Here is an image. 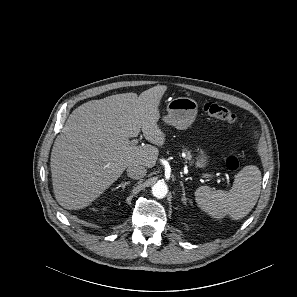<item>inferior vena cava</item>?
Returning <instances> with one entry per match:
<instances>
[{
  "label": "inferior vena cava",
  "instance_id": "inferior-vena-cava-1",
  "mask_svg": "<svg viewBox=\"0 0 297 297\" xmlns=\"http://www.w3.org/2000/svg\"><path fill=\"white\" fill-rule=\"evenodd\" d=\"M146 173V168L141 165H131L127 168V175L132 179H141L146 175Z\"/></svg>",
  "mask_w": 297,
  "mask_h": 297
}]
</instances>
